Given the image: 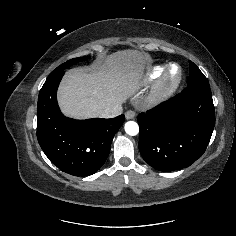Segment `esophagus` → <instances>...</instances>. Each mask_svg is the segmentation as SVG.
I'll return each mask as SVG.
<instances>
[{
    "label": "esophagus",
    "instance_id": "esophagus-1",
    "mask_svg": "<svg viewBox=\"0 0 236 236\" xmlns=\"http://www.w3.org/2000/svg\"><path fill=\"white\" fill-rule=\"evenodd\" d=\"M125 117H126L127 120L134 119L135 118V112L132 111V110H128L125 113Z\"/></svg>",
    "mask_w": 236,
    "mask_h": 236
}]
</instances>
